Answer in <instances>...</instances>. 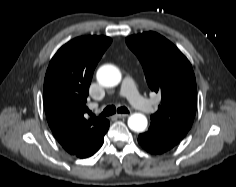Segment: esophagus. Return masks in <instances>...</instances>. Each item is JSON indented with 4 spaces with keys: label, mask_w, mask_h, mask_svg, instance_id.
Segmentation results:
<instances>
[{
    "label": "esophagus",
    "mask_w": 236,
    "mask_h": 187,
    "mask_svg": "<svg viewBox=\"0 0 236 187\" xmlns=\"http://www.w3.org/2000/svg\"><path fill=\"white\" fill-rule=\"evenodd\" d=\"M117 118H126L128 117L129 115L128 114H116L115 115Z\"/></svg>",
    "instance_id": "34e87169"
}]
</instances>
